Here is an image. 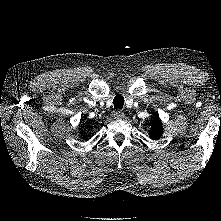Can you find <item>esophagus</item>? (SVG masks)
Masks as SVG:
<instances>
[{
	"label": "esophagus",
	"mask_w": 221,
	"mask_h": 221,
	"mask_svg": "<svg viewBox=\"0 0 221 221\" xmlns=\"http://www.w3.org/2000/svg\"><path fill=\"white\" fill-rule=\"evenodd\" d=\"M123 116H124V113H123L122 110L117 109V110L114 111L115 119H121V118H123Z\"/></svg>",
	"instance_id": "obj_1"
}]
</instances>
